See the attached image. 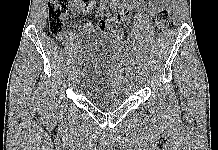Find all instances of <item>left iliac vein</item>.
I'll use <instances>...</instances> for the list:
<instances>
[{
	"instance_id": "left-iliac-vein-1",
	"label": "left iliac vein",
	"mask_w": 218,
	"mask_h": 150,
	"mask_svg": "<svg viewBox=\"0 0 218 150\" xmlns=\"http://www.w3.org/2000/svg\"><path fill=\"white\" fill-rule=\"evenodd\" d=\"M136 78H138V73H133V76H131V81H136Z\"/></svg>"
}]
</instances>
